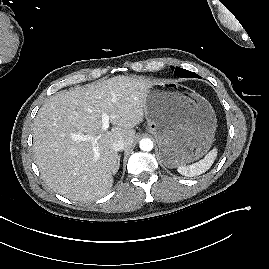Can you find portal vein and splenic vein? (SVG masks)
Here are the masks:
<instances>
[{"label": "portal vein and splenic vein", "mask_w": 269, "mask_h": 269, "mask_svg": "<svg viewBox=\"0 0 269 269\" xmlns=\"http://www.w3.org/2000/svg\"><path fill=\"white\" fill-rule=\"evenodd\" d=\"M101 119H102V130L103 131L108 130L110 116H108V114H106V113H102ZM74 138L77 140H82V141H91L93 145H95V143H96V139H94L91 136H87V135H75ZM93 150H94V158H95V160H98L99 152L97 151L96 147H94Z\"/></svg>", "instance_id": "18ae733b"}]
</instances>
